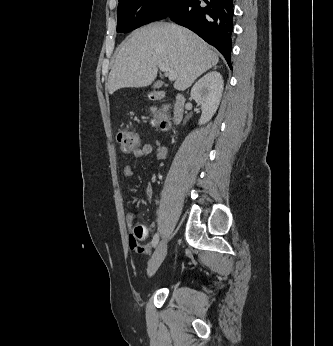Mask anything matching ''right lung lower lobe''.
<instances>
[{"instance_id": "98d812e1", "label": "right lung lower lobe", "mask_w": 333, "mask_h": 346, "mask_svg": "<svg viewBox=\"0 0 333 346\" xmlns=\"http://www.w3.org/2000/svg\"><path fill=\"white\" fill-rule=\"evenodd\" d=\"M233 0H183L168 18L217 48L231 67Z\"/></svg>"}]
</instances>
